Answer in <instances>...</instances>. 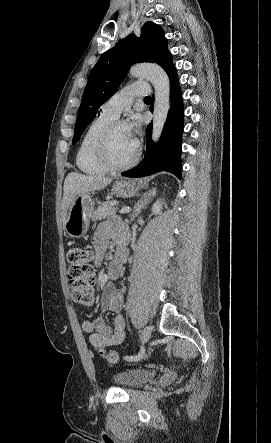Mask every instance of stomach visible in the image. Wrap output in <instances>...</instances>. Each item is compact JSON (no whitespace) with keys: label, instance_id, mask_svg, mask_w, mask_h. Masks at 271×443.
Here are the masks:
<instances>
[{"label":"stomach","instance_id":"1","mask_svg":"<svg viewBox=\"0 0 271 443\" xmlns=\"http://www.w3.org/2000/svg\"><path fill=\"white\" fill-rule=\"evenodd\" d=\"M140 188H144V184H138V180H131V182L119 180V182H115L112 192L118 198H132V196H136ZM93 210L94 202L91 196L87 192L77 194L72 206L67 210L66 223H64L65 231L71 237H83L88 231Z\"/></svg>","mask_w":271,"mask_h":443}]
</instances>
